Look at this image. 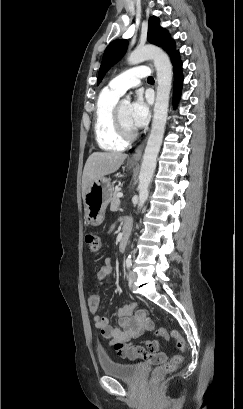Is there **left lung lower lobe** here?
I'll return each mask as SVG.
<instances>
[{"mask_svg": "<svg viewBox=\"0 0 243 409\" xmlns=\"http://www.w3.org/2000/svg\"><path fill=\"white\" fill-rule=\"evenodd\" d=\"M171 60H172L173 67H174V103L176 104L181 94V85L183 81V76L181 72L182 63L179 59L178 51H176L171 56Z\"/></svg>", "mask_w": 243, "mask_h": 409, "instance_id": "obj_1", "label": "left lung lower lobe"}]
</instances>
